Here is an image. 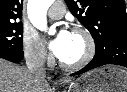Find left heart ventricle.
<instances>
[{
    "label": "left heart ventricle",
    "mask_w": 127,
    "mask_h": 92,
    "mask_svg": "<svg viewBox=\"0 0 127 92\" xmlns=\"http://www.w3.org/2000/svg\"><path fill=\"white\" fill-rule=\"evenodd\" d=\"M86 52V41L83 36L71 34L69 47L65 55L61 58L66 63H73L80 60Z\"/></svg>",
    "instance_id": "b2bd125f"
}]
</instances>
